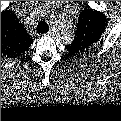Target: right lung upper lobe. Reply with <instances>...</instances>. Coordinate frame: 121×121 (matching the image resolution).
I'll list each match as a JSON object with an SVG mask.
<instances>
[{
	"label": "right lung upper lobe",
	"instance_id": "cb5924a9",
	"mask_svg": "<svg viewBox=\"0 0 121 121\" xmlns=\"http://www.w3.org/2000/svg\"><path fill=\"white\" fill-rule=\"evenodd\" d=\"M32 39L14 13L5 10L1 13V53L9 56L23 54L31 45Z\"/></svg>",
	"mask_w": 121,
	"mask_h": 121
}]
</instances>
